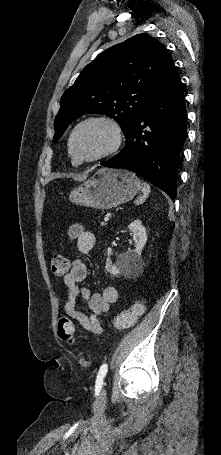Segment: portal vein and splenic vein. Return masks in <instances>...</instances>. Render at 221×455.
Segmentation results:
<instances>
[{
  "label": "portal vein and splenic vein",
  "mask_w": 221,
  "mask_h": 455,
  "mask_svg": "<svg viewBox=\"0 0 221 455\" xmlns=\"http://www.w3.org/2000/svg\"><path fill=\"white\" fill-rule=\"evenodd\" d=\"M110 217H111V215H109V214L106 215L105 218H104V221H105V222L109 221Z\"/></svg>",
  "instance_id": "1"
}]
</instances>
